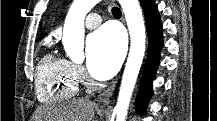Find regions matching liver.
Listing matches in <instances>:
<instances>
[{
    "label": "liver",
    "instance_id": "obj_1",
    "mask_svg": "<svg viewBox=\"0 0 217 121\" xmlns=\"http://www.w3.org/2000/svg\"><path fill=\"white\" fill-rule=\"evenodd\" d=\"M95 104L88 99H75L71 102L39 110V121H94Z\"/></svg>",
    "mask_w": 217,
    "mask_h": 121
}]
</instances>
